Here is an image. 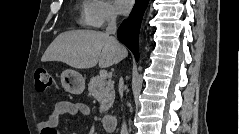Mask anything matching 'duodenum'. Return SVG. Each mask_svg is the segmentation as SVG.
I'll return each instance as SVG.
<instances>
[{
	"mask_svg": "<svg viewBox=\"0 0 239 134\" xmlns=\"http://www.w3.org/2000/svg\"><path fill=\"white\" fill-rule=\"evenodd\" d=\"M102 124H103L104 129L107 132L112 133V132H114L115 127H116V117L113 115H106L102 119Z\"/></svg>",
	"mask_w": 239,
	"mask_h": 134,
	"instance_id": "410a0bca",
	"label": "duodenum"
}]
</instances>
